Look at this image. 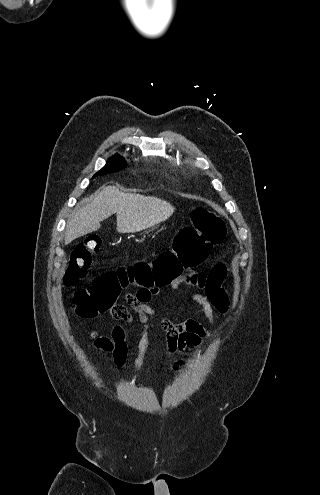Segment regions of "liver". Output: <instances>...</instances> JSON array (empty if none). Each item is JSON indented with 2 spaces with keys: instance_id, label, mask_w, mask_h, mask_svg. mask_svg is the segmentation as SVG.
Wrapping results in <instances>:
<instances>
[{
  "instance_id": "1",
  "label": "liver",
  "mask_w": 320,
  "mask_h": 495,
  "mask_svg": "<svg viewBox=\"0 0 320 495\" xmlns=\"http://www.w3.org/2000/svg\"><path fill=\"white\" fill-rule=\"evenodd\" d=\"M174 212L169 202L154 196L123 193L115 186H104L91 202L83 199L67 221L65 244L98 231L101 222L117 215L119 233H135L152 227Z\"/></svg>"
}]
</instances>
